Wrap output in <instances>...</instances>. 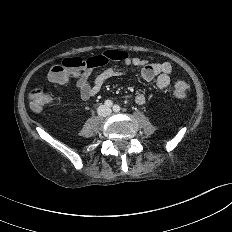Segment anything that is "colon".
I'll list each match as a JSON object with an SVG mask.
<instances>
[{
    "label": "colon",
    "mask_w": 232,
    "mask_h": 232,
    "mask_svg": "<svg viewBox=\"0 0 232 232\" xmlns=\"http://www.w3.org/2000/svg\"><path fill=\"white\" fill-rule=\"evenodd\" d=\"M94 57H69L54 64L49 72L52 80L60 82L69 80L78 73L92 66L95 62ZM189 93V85L184 80H178L174 85V97L184 99ZM30 107L34 112H42L46 107L54 102V95L44 86L38 85L31 89L29 94Z\"/></svg>",
    "instance_id": "obj_1"
}]
</instances>
